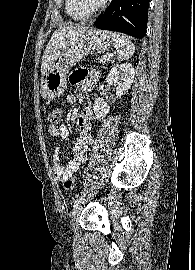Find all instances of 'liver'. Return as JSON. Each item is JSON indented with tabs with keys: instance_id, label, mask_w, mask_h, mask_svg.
I'll list each match as a JSON object with an SVG mask.
<instances>
[{
	"instance_id": "6515ba94",
	"label": "liver",
	"mask_w": 195,
	"mask_h": 270,
	"mask_svg": "<svg viewBox=\"0 0 195 270\" xmlns=\"http://www.w3.org/2000/svg\"><path fill=\"white\" fill-rule=\"evenodd\" d=\"M86 29V26L66 24L54 31L42 57V76H44L49 66L58 58L61 50L65 47L66 40Z\"/></svg>"
}]
</instances>
